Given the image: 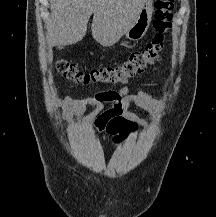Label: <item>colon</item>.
Segmentation results:
<instances>
[{
    "instance_id": "1",
    "label": "colon",
    "mask_w": 216,
    "mask_h": 217,
    "mask_svg": "<svg viewBox=\"0 0 216 217\" xmlns=\"http://www.w3.org/2000/svg\"><path fill=\"white\" fill-rule=\"evenodd\" d=\"M174 0H157L153 26L156 30L154 39L143 49L132 52L127 60L120 64L82 71L75 64L65 59L56 62L58 72L68 80L89 85L97 83L115 84L126 82L131 77L144 71L149 65L160 60L167 44V33L172 24ZM131 124L119 120L110 125L108 130L114 135L116 143L121 142L129 133Z\"/></svg>"
}]
</instances>
